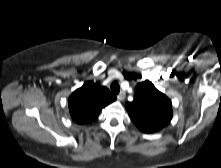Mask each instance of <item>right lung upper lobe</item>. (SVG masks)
Here are the masks:
<instances>
[{
  "label": "right lung upper lobe",
  "mask_w": 221,
  "mask_h": 168,
  "mask_svg": "<svg viewBox=\"0 0 221 168\" xmlns=\"http://www.w3.org/2000/svg\"><path fill=\"white\" fill-rule=\"evenodd\" d=\"M116 100L106 88L94 82H86L69 97V113L78 124L95 120L101 109Z\"/></svg>",
  "instance_id": "obj_1"
}]
</instances>
